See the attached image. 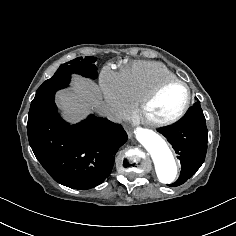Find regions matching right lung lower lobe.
I'll return each mask as SVG.
<instances>
[{"instance_id": "right-lung-lower-lobe-1", "label": "right lung lower lobe", "mask_w": 236, "mask_h": 236, "mask_svg": "<svg viewBox=\"0 0 236 236\" xmlns=\"http://www.w3.org/2000/svg\"><path fill=\"white\" fill-rule=\"evenodd\" d=\"M54 95L32 101L29 144L55 181L75 189L93 188L109 176L128 136L121 125L94 115L76 125L65 123L57 114Z\"/></svg>"}]
</instances>
